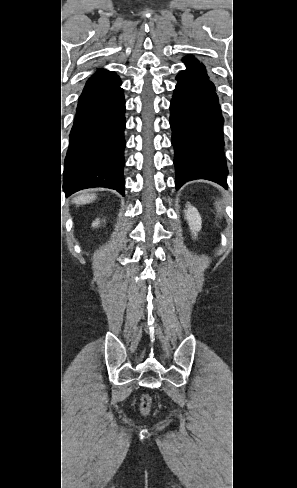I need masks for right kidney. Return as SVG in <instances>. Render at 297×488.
<instances>
[{
	"mask_svg": "<svg viewBox=\"0 0 297 488\" xmlns=\"http://www.w3.org/2000/svg\"><path fill=\"white\" fill-rule=\"evenodd\" d=\"M100 224V220L99 219H96L93 223H92V226L93 227H98V225Z\"/></svg>",
	"mask_w": 297,
	"mask_h": 488,
	"instance_id": "1",
	"label": "right kidney"
}]
</instances>
